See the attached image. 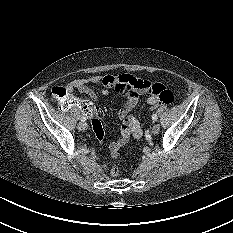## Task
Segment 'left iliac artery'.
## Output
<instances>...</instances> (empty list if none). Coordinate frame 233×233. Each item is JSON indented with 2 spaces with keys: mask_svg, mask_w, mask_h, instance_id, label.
Returning <instances> with one entry per match:
<instances>
[{
  "mask_svg": "<svg viewBox=\"0 0 233 233\" xmlns=\"http://www.w3.org/2000/svg\"><path fill=\"white\" fill-rule=\"evenodd\" d=\"M152 119H153V121H157V119H158L157 115H156V114H153V115H152Z\"/></svg>",
  "mask_w": 233,
  "mask_h": 233,
  "instance_id": "1",
  "label": "left iliac artery"
}]
</instances>
